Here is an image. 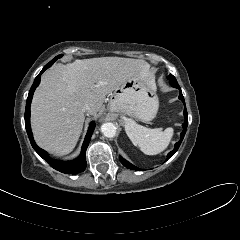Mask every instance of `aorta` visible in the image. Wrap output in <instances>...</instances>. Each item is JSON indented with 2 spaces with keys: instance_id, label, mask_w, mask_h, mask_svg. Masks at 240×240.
<instances>
[{
  "instance_id": "1",
  "label": "aorta",
  "mask_w": 240,
  "mask_h": 240,
  "mask_svg": "<svg viewBox=\"0 0 240 240\" xmlns=\"http://www.w3.org/2000/svg\"><path fill=\"white\" fill-rule=\"evenodd\" d=\"M101 132L105 137L112 138L117 133V127L115 124L107 122L101 126Z\"/></svg>"
}]
</instances>
